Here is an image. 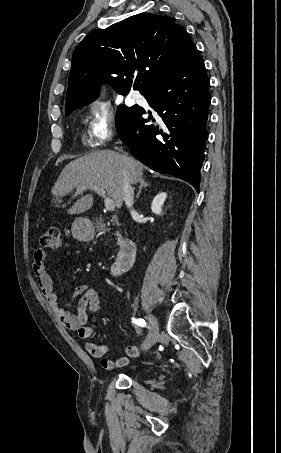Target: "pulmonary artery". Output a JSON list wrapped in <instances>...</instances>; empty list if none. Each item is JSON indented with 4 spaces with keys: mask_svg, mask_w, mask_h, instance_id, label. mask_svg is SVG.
I'll list each match as a JSON object with an SVG mask.
<instances>
[{
    "mask_svg": "<svg viewBox=\"0 0 281 453\" xmlns=\"http://www.w3.org/2000/svg\"><path fill=\"white\" fill-rule=\"evenodd\" d=\"M133 99H134L135 102L141 103V104L145 105L147 108L151 109L150 104L148 103V101L141 94L135 93L133 95Z\"/></svg>",
    "mask_w": 281,
    "mask_h": 453,
    "instance_id": "obj_1",
    "label": "pulmonary artery"
}]
</instances>
